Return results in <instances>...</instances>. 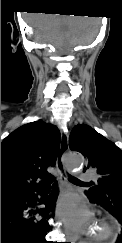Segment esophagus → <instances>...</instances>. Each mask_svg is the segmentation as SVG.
I'll return each mask as SVG.
<instances>
[{
    "instance_id": "obj_1",
    "label": "esophagus",
    "mask_w": 122,
    "mask_h": 243,
    "mask_svg": "<svg viewBox=\"0 0 122 243\" xmlns=\"http://www.w3.org/2000/svg\"><path fill=\"white\" fill-rule=\"evenodd\" d=\"M67 150H68V135L65 131H62L61 139H60V149L56 160V168L59 174L60 182L63 187L62 192H64L65 187L67 186V178H68L67 169L64 165V156ZM64 232L69 243H76V241H78L79 238L78 235L72 233L66 226L64 227Z\"/></svg>"
}]
</instances>
